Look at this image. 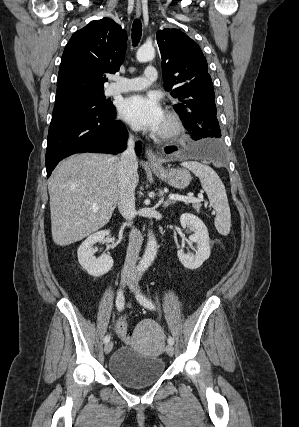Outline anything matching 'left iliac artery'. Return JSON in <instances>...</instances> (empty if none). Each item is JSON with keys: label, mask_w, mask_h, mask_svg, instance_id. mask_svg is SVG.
<instances>
[{"label": "left iliac artery", "mask_w": 299, "mask_h": 427, "mask_svg": "<svg viewBox=\"0 0 299 427\" xmlns=\"http://www.w3.org/2000/svg\"><path fill=\"white\" fill-rule=\"evenodd\" d=\"M144 273V270H139L138 272V276H137V280L136 283L138 284V282L141 280V277ZM137 300L146 308L150 309V310H154L155 309V305L154 303L148 299L147 297H145L144 295L138 294L137 295ZM168 343L173 345L174 344V339L172 337L168 338Z\"/></svg>", "instance_id": "1"}]
</instances>
